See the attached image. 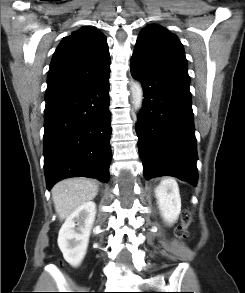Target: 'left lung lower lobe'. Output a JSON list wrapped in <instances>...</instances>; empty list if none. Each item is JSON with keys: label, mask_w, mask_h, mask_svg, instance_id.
Listing matches in <instances>:
<instances>
[{"label": "left lung lower lobe", "mask_w": 245, "mask_h": 293, "mask_svg": "<svg viewBox=\"0 0 245 293\" xmlns=\"http://www.w3.org/2000/svg\"><path fill=\"white\" fill-rule=\"evenodd\" d=\"M130 67L145 97L136 125L145 178L169 175L195 185L197 151L189 78L137 54Z\"/></svg>", "instance_id": "1"}]
</instances>
